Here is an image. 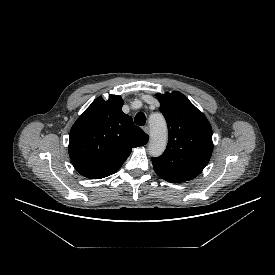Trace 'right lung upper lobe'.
<instances>
[{
    "mask_svg": "<svg viewBox=\"0 0 275 275\" xmlns=\"http://www.w3.org/2000/svg\"><path fill=\"white\" fill-rule=\"evenodd\" d=\"M123 100L110 95L96 98L71 128L69 156L84 177L101 179L115 173L132 148L143 146L149 136L123 113Z\"/></svg>",
    "mask_w": 275,
    "mask_h": 275,
    "instance_id": "obj_1",
    "label": "right lung upper lobe"
}]
</instances>
